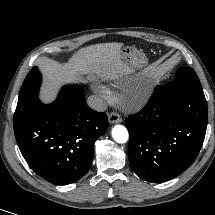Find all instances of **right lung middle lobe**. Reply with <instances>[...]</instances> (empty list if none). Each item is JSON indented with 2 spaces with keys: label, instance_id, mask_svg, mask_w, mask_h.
Masks as SVG:
<instances>
[{
  "label": "right lung middle lobe",
  "instance_id": "obj_1",
  "mask_svg": "<svg viewBox=\"0 0 215 215\" xmlns=\"http://www.w3.org/2000/svg\"><path fill=\"white\" fill-rule=\"evenodd\" d=\"M42 77L37 67H33L27 75L19 94L17 107L14 114L13 125L14 128L27 117V115L34 108L38 100L39 87L41 85Z\"/></svg>",
  "mask_w": 215,
  "mask_h": 215
}]
</instances>
